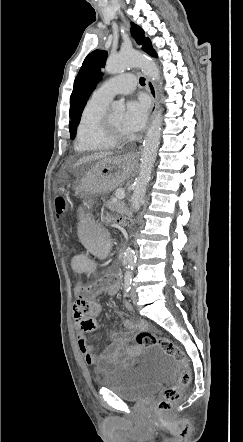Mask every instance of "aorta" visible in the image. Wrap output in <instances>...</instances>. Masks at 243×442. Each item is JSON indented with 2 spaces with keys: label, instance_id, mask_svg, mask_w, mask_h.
Masks as SVG:
<instances>
[{
  "label": "aorta",
  "instance_id": "762f6f07",
  "mask_svg": "<svg viewBox=\"0 0 243 442\" xmlns=\"http://www.w3.org/2000/svg\"><path fill=\"white\" fill-rule=\"evenodd\" d=\"M128 68H140L143 73L155 81H160V70L157 64L146 55L135 51L120 53L107 59L105 71L109 74H118ZM161 84V82H160ZM115 110H123V102L113 104ZM162 125V114L159 111L153 119L150 128L147 131L141 151L139 175L135 180L131 205L133 210L138 211L144 200L152 168L156 159L157 150L160 144ZM136 256L131 248H126L123 252V261L128 264V268L134 266Z\"/></svg>",
  "mask_w": 243,
  "mask_h": 442
}]
</instances>
